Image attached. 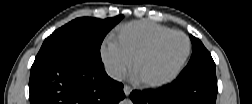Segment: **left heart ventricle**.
Segmentation results:
<instances>
[{
  "mask_svg": "<svg viewBox=\"0 0 252 104\" xmlns=\"http://www.w3.org/2000/svg\"><path fill=\"white\" fill-rule=\"evenodd\" d=\"M184 48H185V40L184 38H180V41L178 43H175L173 49L171 50V56H173L172 62L176 61L177 59L181 57L184 51ZM137 67L139 71L143 74H152V72H158L156 71L158 69H151L155 67H151V63L145 60H142L141 62H139Z\"/></svg>",
  "mask_w": 252,
  "mask_h": 104,
  "instance_id": "obj_1",
  "label": "left heart ventricle"
}]
</instances>
